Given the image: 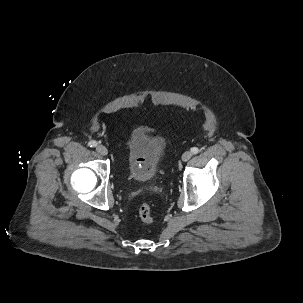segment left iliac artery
<instances>
[{
  "mask_svg": "<svg viewBox=\"0 0 303 303\" xmlns=\"http://www.w3.org/2000/svg\"><path fill=\"white\" fill-rule=\"evenodd\" d=\"M191 152H192L193 154H197V153L199 152V149H198L197 147H193V148L191 149Z\"/></svg>",
  "mask_w": 303,
  "mask_h": 303,
  "instance_id": "44dca946",
  "label": "left iliac artery"
}]
</instances>
